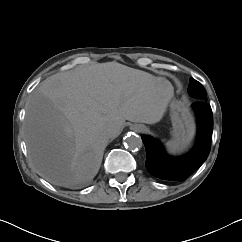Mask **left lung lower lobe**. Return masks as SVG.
<instances>
[{
    "mask_svg": "<svg viewBox=\"0 0 242 242\" xmlns=\"http://www.w3.org/2000/svg\"><path fill=\"white\" fill-rule=\"evenodd\" d=\"M198 121V133L194 149L186 156H169L160 142L150 136H143L146 148L147 170L162 180L184 181L207 159L211 149L213 115L209 104L197 100L192 104Z\"/></svg>",
    "mask_w": 242,
    "mask_h": 242,
    "instance_id": "left-lung-lower-lobe-1",
    "label": "left lung lower lobe"
}]
</instances>
